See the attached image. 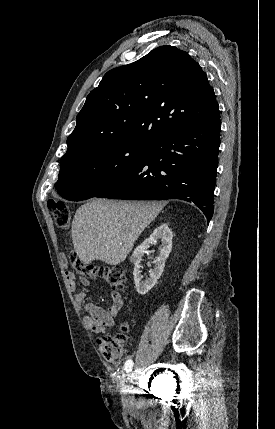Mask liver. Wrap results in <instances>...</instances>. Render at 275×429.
<instances>
[{
    "label": "liver",
    "mask_w": 275,
    "mask_h": 429,
    "mask_svg": "<svg viewBox=\"0 0 275 429\" xmlns=\"http://www.w3.org/2000/svg\"><path fill=\"white\" fill-rule=\"evenodd\" d=\"M161 202L92 199L79 207L72 222V241L79 258L122 263L144 229L163 208Z\"/></svg>",
    "instance_id": "1"
}]
</instances>
